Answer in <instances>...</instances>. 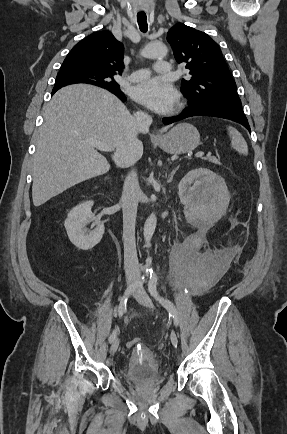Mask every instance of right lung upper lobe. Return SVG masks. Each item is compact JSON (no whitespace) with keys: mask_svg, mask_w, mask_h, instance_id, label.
I'll return each mask as SVG.
<instances>
[{"mask_svg":"<svg viewBox=\"0 0 287 434\" xmlns=\"http://www.w3.org/2000/svg\"><path fill=\"white\" fill-rule=\"evenodd\" d=\"M123 44L107 30L92 33L75 45L61 69H83L114 75L123 66ZM68 84L55 85L52 92ZM115 92V91H112Z\"/></svg>","mask_w":287,"mask_h":434,"instance_id":"obj_1","label":"right lung upper lobe"}]
</instances>
